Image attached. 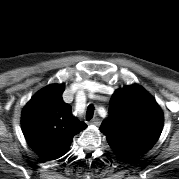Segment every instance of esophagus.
Here are the masks:
<instances>
[{"mask_svg":"<svg viewBox=\"0 0 179 179\" xmlns=\"http://www.w3.org/2000/svg\"><path fill=\"white\" fill-rule=\"evenodd\" d=\"M91 121L97 126L101 124V119L99 117H94Z\"/></svg>","mask_w":179,"mask_h":179,"instance_id":"1","label":"esophagus"}]
</instances>
